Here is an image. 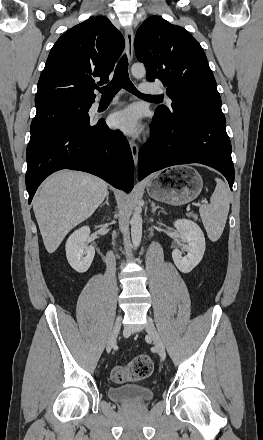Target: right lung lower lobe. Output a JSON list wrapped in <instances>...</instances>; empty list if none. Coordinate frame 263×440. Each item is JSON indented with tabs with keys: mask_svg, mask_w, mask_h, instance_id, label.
<instances>
[{
	"mask_svg": "<svg viewBox=\"0 0 263 440\" xmlns=\"http://www.w3.org/2000/svg\"><path fill=\"white\" fill-rule=\"evenodd\" d=\"M26 160L29 204L42 181L61 169L94 174L126 192L134 186L130 146L121 132L110 130L104 121L62 126L30 141Z\"/></svg>",
	"mask_w": 263,
	"mask_h": 440,
	"instance_id": "right-lung-lower-lobe-1",
	"label": "right lung lower lobe"
}]
</instances>
